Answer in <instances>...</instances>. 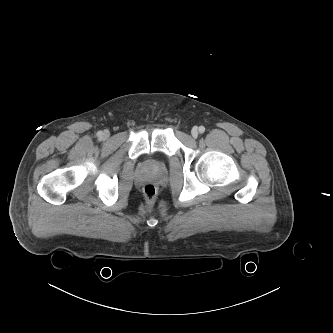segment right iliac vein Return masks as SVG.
Wrapping results in <instances>:
<instances>
[{"instance_id":"obj_1","label":"right iliac vein","mask_w":333,"mask_h":333,"mask_svg":"<svg viewBox=\"0 0 333 333\" xmlns=\"http://www.w3.org/2000/svg\"><path fill=\"white\" fill-rule=\"evenodd\" d=\"M103 137H104V138H108V137H109V132H104V133H103Z\"/></svg>"}]
</instances>
